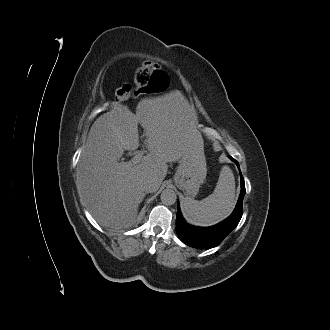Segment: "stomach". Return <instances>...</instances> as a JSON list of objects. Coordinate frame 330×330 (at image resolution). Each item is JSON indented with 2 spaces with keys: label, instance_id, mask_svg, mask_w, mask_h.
Segmentation results:
<instances>
[{
  "label": "stomach",
  "instance_id": "stomach-1",
  "mask_svg": "<svg viewBox=\"0 0 330 330\" xmlns=\"http://www.w3.org/2000/svg\"><path fill=\"white\" fill-rule=\"evenodd\" d=\"M206 174L207 166L204 150L191 151L179 161V166L174 175V183L187 197L193 198L199 192Z\"/></svg>",
  "mask_w": 330,
  "mask_h": 330
}]
</instances>
